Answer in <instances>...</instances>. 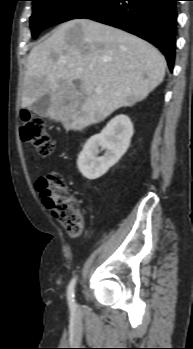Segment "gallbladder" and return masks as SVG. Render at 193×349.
Here are the masks:
<instances>
[{
    "label": "gallbladder",
    "mask_w": 193,
    "mask_h": 349,
    "mask_svg": "<svg viewBox=\"0 0 193 349\" xmlns=\"http://www.w3.org/2000/svg\"><path fill=\"white\" fill-rule=\"evenodd\" d=\"M50 106V97L49 95H44L42 96L40 99H38L37 101H35L30 107L29 109L41 116V117H45L48 111V108Z\"/></svg>",
    "instance_id": "obj_1"
}]
</instances>
